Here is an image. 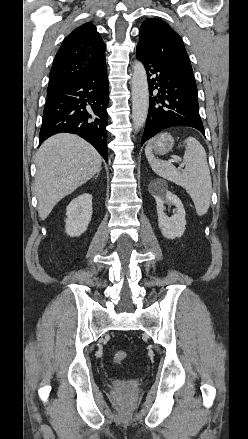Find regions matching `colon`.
Listing matches in <instances>:
<instances>
[{"label": "colon", "instance_id": "5ec220e1", "mask_svg": "<svg viewBox=\"0 0 248 439\" xmlns=\"http://www.w3.org/2000/svg\"><path fill=\"white\" fill-rule=\"evenodd\" d=\"M127 359V353L125 351H116L113 355V360L115 363H123Z\"/></svg>", "mask_w": 248, "mask_h": 439}]
</instances>
